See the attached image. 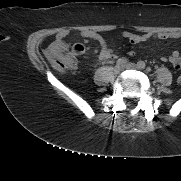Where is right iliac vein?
I'll return each mask as SVG.
<instances>
[{
  "label": "right iliac vein",
  "instance_id": "1",
  "mask_svg": "<svg viewBox=\"0 0 181 181\" xmlns=\"http://www.w3.org/2000/svg\"><path fill=\"white\" fill-rule=\"evenodd\" d=\"M123 69H124V66H122V65H116V66L114 67V72H115V74H120V73L123 71Z\"/></svg>",
  "mask_w": 181,
  "mask_h": 181
}]
</instances>
